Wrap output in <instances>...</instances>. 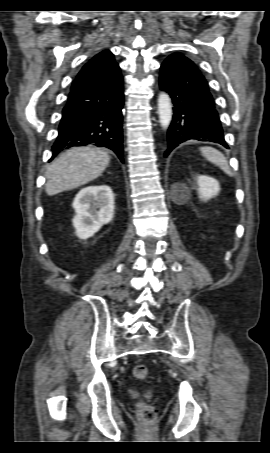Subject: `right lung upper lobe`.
Segmentation results:
<instances>
[{"label": "right lung upper lobe", "mask_w": 270, "mask_h": 453, "mask_svg": "<svg viewBox=\"0 0 270 453\" xmlns=\"http://www.w3.org/2000/svg\"><path fill=\"white\" fill-rule=\"evenodd\" d=\"M118 69L113 54L109 50H104L83 66L72 83L71 90L96 85Z\"/></svg>", "instance_id": "1"}]
</instances>
